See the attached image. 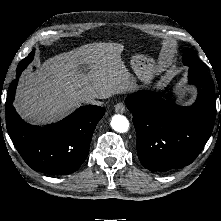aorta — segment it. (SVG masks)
<instances>
[{"mask_svg": "<svg viewBox=\"0 0 221 221\" xmlns=\"http://www.w3.org/2000/svg\"><path fill=\"white\" fill-rule=\"evenodd\" d=\"M111 127L119 133H125L129 129V121L128 119L120 114H116L111 119Z\"/></svg>", "mask_w": 221, "mask_h": 221, "instance_id": "obj_1", "label": "aorta"}]
</instances>
